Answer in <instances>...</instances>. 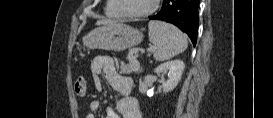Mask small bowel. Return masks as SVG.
<instances>
[{"mask_svg":"<svg viewBox=\"0 0 273 118\" xmlns=\"http://www.w3.org/2000/svg\"><path fill=\"white\" fill-rule=\"evenodd\" d=\"M91 72L97 90L103 91L101 80V75H103L111 88L121 96L116 103V109L111 107L106 109V118H141L137 100L130 95L133 85L132 79L118 72L112 58L96 57L91 63ZM89 109L91 113H88L86 118H94L93 112L100 109V102L92 100L89 103Z\"/></svg>","mask_w":273,"mask_h":118,"instance_id":"small-bowel-1","label":"small bowel"}]
</instances>
